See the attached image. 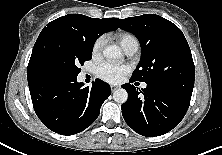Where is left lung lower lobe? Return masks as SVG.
I'll return each mask as SVG.
<instances>
[{"label": "left lung lower lobe", "instance_id": "1", "mask_svg": "<svg viewBox=\"0 0 222 155\" xmlns=\"http://www.w3.org/2000/svg\"><path fill=\"white\" fill-rule=\"evenodd\" d=\"M122 88L128 93V100L121 106L123 118L135 132L146 137L160 136L175 128L185 116L192 96V91L162 83H147L140 91L130 83Z\"/></svg>", "mask_w": 222, "mask_h": 155}]
</instances>
